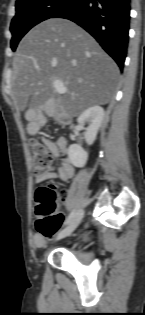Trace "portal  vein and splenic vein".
Instances as JSON below:
<instances>
[{"mask_svg": "<svg viewBox=\"0 0 145 315\" xmlns=\"http://www.w3.org/2000/svg\"><path fill=\"white\" fill-rule=\"evenodd\" d=\"M53 86L58 94H65L67 92V88L65 87L62 81L59 80L53 81Z\"/></svg>", "mask_w": 145, "mask_h": 315, "instance_id": "1", "label": "portal vein and splenic vein"}]
</instances>
